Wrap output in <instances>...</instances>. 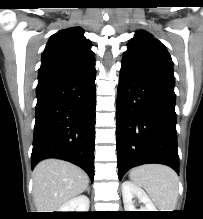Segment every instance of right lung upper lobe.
I'll return each mask as SVG.
<instances>
[{
	"label": "right lung upper lobe",
	"instance_id": "cb5924a9",
	"mask_svg": "<svg viewBox=\"0 0 203 219\" xmlns=\"http://www.w3.org/2000/svg\"><path fill=\"white\" fill-rule=\"evenodd\" d=\"M83 33L80 27H71L53 34L43 51L39 71L94 62L90 41Z\"/></svg>",
	"mask_w": 203,
	"mask_h": 219
}]
</instances>
